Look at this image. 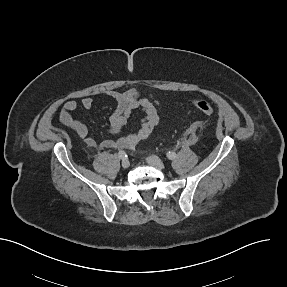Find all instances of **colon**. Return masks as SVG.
<instances>
[{"label":"colon","mask_w":287,"mask_h":287,"mask_svg":"<svg viewBox=\"0 0 287 287\" xmlns=\"http://www.w3.org/2000/svg\"><path fill=\"white\" fill-rule=\"evenodd\" d=\"M194 108L204 114V115H211L213 113V106L212 104L204 99V98H197L192 101Z\"/></svg>","instance_id":"colon-1"}]
</instances>
